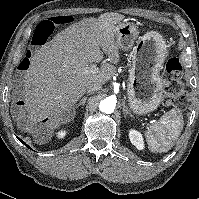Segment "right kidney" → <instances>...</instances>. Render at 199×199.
I'll return each mask as SVG.
<instances>
[{
  "mask_svg": "<svg viewBox=\"0 0 199 199\" xmlns=\"http://www.w3.org/2000/svg\"><path fill=\"white\" fill-rule=\"evenodd\" d=\"M66 135V131L65 130H60L59 132L56 133V136L58 139H62L64 138Z\"/></svg>",
  "mask_w": 199,
  "mask_h": 199,
  "instance_id": "1",
  "label": "right kidney"
}]
</instances>
